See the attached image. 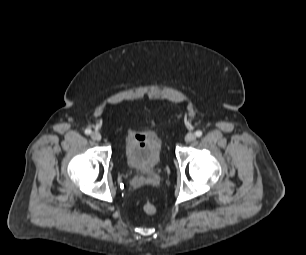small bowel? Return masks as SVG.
<instances>
[{
	"mask_svg": "<svg viewBox=\"0 0 306 255\" xmlns=\"http://www.w3.org/2000/svg\"><path fill=\"white\" fill-rule=\"evenodd\" d=\"M128 136L134 139H141L143 137V132L138 129H131Z\"/></svg>",
	"mask_w": 306,
	"mask_h": 255,
	"instance_id": "small-bowel-1",
	"label": "small bowel"
}]
</instances>
